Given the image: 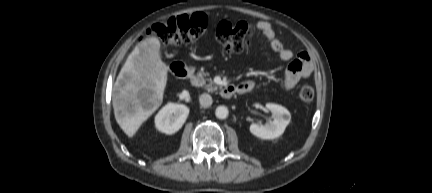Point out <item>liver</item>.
Listing matches in <instances>:
<instances>
[{
    "label": "liver",
    "mask_w": 432,
    "mask_h": 193,
    "mask_svg": "<svg viewBox=\"0 0 432 193\" xmlns=\"http://www.w3.org/2000/svg\"><path fill=\"white\" fill-rule=\"evenodd\" d=\"M167 73L158 38H146L129 54L113 88L115 119L129 137L161 105Z\"/></svg>",
    "instance_id": "6515ba94"
}]
</instances>
